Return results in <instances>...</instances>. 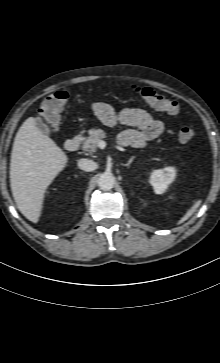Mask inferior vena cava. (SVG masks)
Segmentation results:
<instances>
[{
    "label": "inferior vena cava",
    "instance_id": "obj_1",
    "mask_svg": "<svg viewBox=\"0 0 220 363\" xmlns=\"http://www.w3.org/2000/svg\"><path fill=\"white\" fill-rule=\"evenodd\" d=\"M78 167L84 171L91 172L97 169L98 165L93 160L82 158L78 161Z\"/></svg>",
    "mask_w": 220,
    "mask_h": 363
}]
</instances>
